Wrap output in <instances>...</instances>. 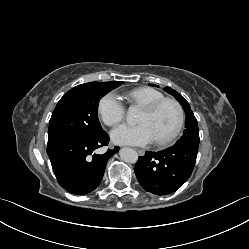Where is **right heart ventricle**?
<instances>
[{
	"mask_svg": "<svg viewBox=\"0 0 249 249\" xmlns=\"http://www.w3.org/2000/svg\"><path fill=\"white\" fill-rule=\"evenodd\" d=\"M123 97L131 106L142 107L165 97V95L151 87H138L128 90Z\"/></svg>",
	"mask_w": 249,
	"mask_h": 249,
	"instance_id": "right-heart-ventricle-1",
	"label": "right heart ventricle"
}]
</instances>
